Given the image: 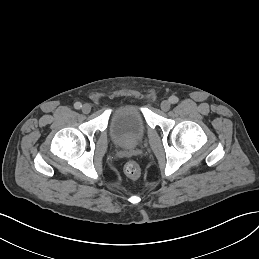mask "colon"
Returning a JSON list of instances; mask_svg holds the SVG:
<instances>
[{"label": "colon", "instance_id": "obj_1", "mask_svg": "<svg viewBox=\"0 0 259 259\" xmlns=\"http://www.w3.org/2000/svg\"><path fill=\"white\" fill-rule=\"evenodd\" d=\"M125 174L131 179H138L141 175V169L137 162L129 161L124 166Z\"/></svg>", "mask_w": 259, "mask_h": 259}]
</instances>
